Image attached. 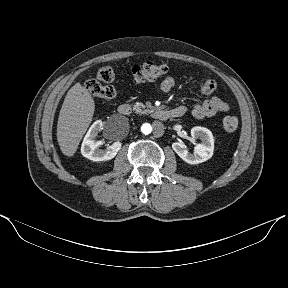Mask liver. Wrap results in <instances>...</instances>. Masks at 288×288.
Returning <instances> with one entry per match:
<instances>
[{"label": "liver", "mask_w": 288, "mask_h": 288, "mask_svg": "<svg viewBox=\"0 0 288 288\" xmlns=\"http://www.w3.org/2000/svg\"><path fill=\"white\" fill-rule=\"evenodd\" d=\"M94 111L93 97L85 87L76 83L67 92L57 123V141L64 155L71 157L75 154Z\"/></svg>", "instance_id": "liver-1"}]
</instances>
